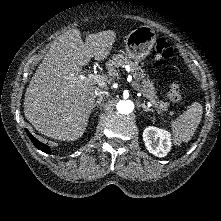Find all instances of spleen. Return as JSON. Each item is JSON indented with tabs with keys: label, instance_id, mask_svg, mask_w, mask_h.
<instances>
[{
	"label": "spleen",
	"instance_id": "spleen-1",
	"mask_svg": "<svg viewBox=\"0 0 221 221\" xmlns=\"http://www.w3.org/2000/svg\"><path fill=\"white\" fill-rule=\"evenodd\" d=\"M202 114L203 106L195 101L189 106L187 111L171 121L175 145H180L182 142L191 140L201 121Z\"/></svg>",
	"mask_w": 221,
	"mask_h": 221
}]
</instances>
